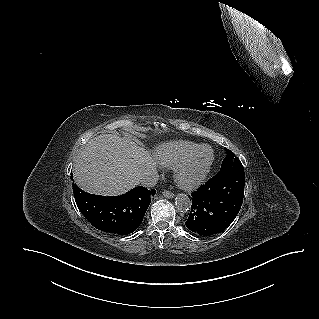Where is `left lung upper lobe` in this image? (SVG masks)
<instances>
[{"label": "left lung upper lobe", "instance_id": "5c2ea615", "mask_svg": "<svg viewBox=\"0 0 319 319\" xmlns=\"http://www.w3.org/2000/svg\"><path fill=\"white\" fill-rule=\"evenodd\" d=\"M226 157L224 158L222 162L220 172H226V171H240L244 172V168L240 160L235 156V154L230 151L229 149H226Z\"/></svg>", "mask_w": 319, "mask_h": 319}]
</instances>
